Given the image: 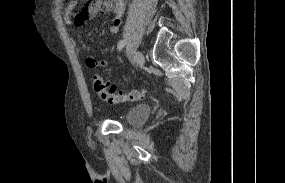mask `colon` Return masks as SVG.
Instances as JSON below:
<instances>
[{"label":"colon","mask_w":285,"mask_h":183,"mask_svg":"<svg viewBox=\"0 0 285 183\" xmlns=\"http://www.w3.org/2000/svg\"><path fill=\"white\" fill-rule=\"evenodd\" d=\"M93 89L95 93L109 104H118L124 102H134L141 100L148 95L144 88L134 89L131 91H117L109 85L102 76L96 74L92 78Z\"/></svg>","instance_id":"5ec220e1"}]
</instances>
